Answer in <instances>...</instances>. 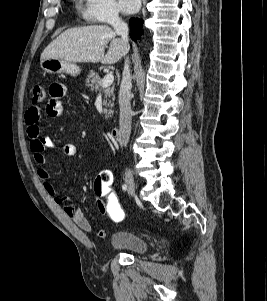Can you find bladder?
<instances>
[{
  "instance_id": "bladder-1",
  "label": "bladder",
  "mask_w": 267,
  "mask_h": 301,
  "mask_svg": "<svg viewBox=\"0 0 267 301\" xmlns=\"http://www.w3.org/2000/svg\"><path fill=\"white\" fill-rule=\"evenodd\" d=\"M110 245L115 250L128 251L133 254H144L149 251V243L137 234L119 231L110 238Z\"/></svg>"
}]
</instances>
